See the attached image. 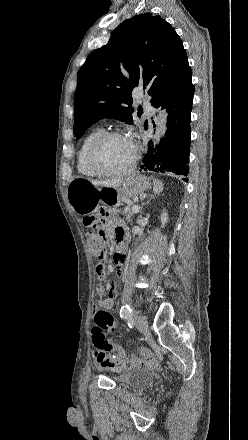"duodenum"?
<instances>
[{
	"mask_svg": "<svg viewBox=\"0 0 248 440\" xmlns=\"http://www.w3.org/2000/svg\"><path fill=\"white\" fill-rule=\"evenodd\" d=\"M126 250H127V247L125 244H119V246H118L119 254L123 255L126 252Z\"/></svg>",
	"mask_w": 248,
	"mask_h": 440,
	"instance_id": "obj_1",
	"label": "duodenum"
}]
</instances>
